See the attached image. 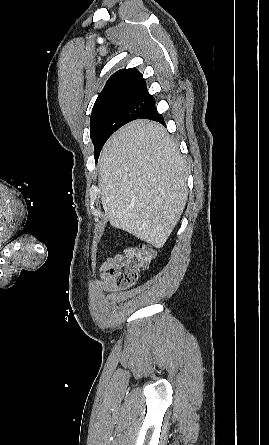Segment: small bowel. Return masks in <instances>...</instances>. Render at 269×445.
<instances>
[{
    "mask_svg": "<svg viewBox=\"0 0 269 445\" xmlns=\"http://www.w3.org/2000/svg\"><path fill=\"white\" fill-rule=\"evenodd\" d=\"M121 255H115L104 261L100 268V279L96 282V288L102 292H114L116 286L112 279V270L118 264Z\"/></svg>",
    "mask_w": 269,
    "mask_h": 445,
    "instance_id": "small-bowel-1",
    "label": "small bowel"
}]
</instances>
